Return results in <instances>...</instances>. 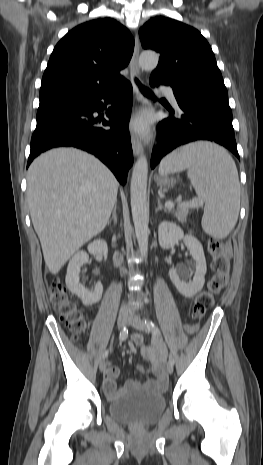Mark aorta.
<instances>
[{"label": "aorta", "instance_id": "obj_1", "mask_svg": "<svg viewBox=\"0 0 263 465\" xmlns=\"http://www.w3.org/2000/svg\"><path fill=\"white\" fill-rule=\"evenodd\" d=\"M159 61V55L154 51H144L139 57V66L143 70H152L156 68ZM147 177L148 162L144 155L136 161L131 178L130 195L131 211L135 227L136 238L139 245V251L142 256L146 257L148 252L149 228L147 220Z\"/></svg>", "mask_w": 263, "mask_h": 465}]
</instances>
